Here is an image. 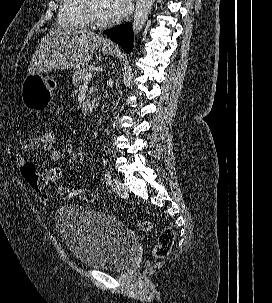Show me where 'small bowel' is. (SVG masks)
I'll return each mask as SVG.
<instances>
[{"label":"small bowel","mask_w":272,"mask_h":303,"mask_svg":"<svg viewBox=\"0 0 272 303\" xmlns=\"http://www.w3.org/2000/svg\"><path fill=\"white\" fill-rule=\"evenodd\" d=\"M35 150H42L45 153H47L52 162H58L61 160L62 157V154L58 148H45L40 144L38 138L34 136L22 142L20 146V153L17 155L16 158L17 163L20 166L26 164V159L24 154ZM42 174L46 176L47 184H49L58 181L62 177L63 172L60 168H54ZM42 200L46 201L47 198Z\"/></svg>","instance_id":"c3829d8e"}]
</instances>
